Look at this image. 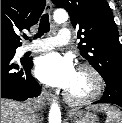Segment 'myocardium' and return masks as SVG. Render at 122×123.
Instances as JSON below:
<instances>
[{"label":"myocardium","instance_id":"obj_1","mask_svg":"<svg viewBox=\"0 0 122 123\" xmlns=\"http://www.w3.org/2000/svg\"><path fill=\"white\" fill-rule=\"evenodd\" d=\"M77 71H86L91 74L94 80V86L91 92L84 96H74L70 92H65L66 100L73 105H84L100 96L104 89V78L102 74L94 66L90 64H81L78 66Z\"/></svg>","mask_w":122,"mask_h":123}]
</instances>
